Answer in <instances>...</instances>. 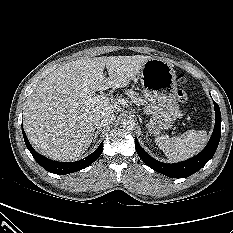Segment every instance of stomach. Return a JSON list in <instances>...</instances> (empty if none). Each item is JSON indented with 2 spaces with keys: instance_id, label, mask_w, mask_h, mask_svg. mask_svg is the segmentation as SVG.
Here are the masks:
<instances>
[{
  "instance_id": "stomach-1",
  "label": "stomach",
  "mask_w": 233,
  "mask_h": 233,
  "mask_svg": "<svg viewBox=\"0 0 233 233\" xmlns=\"http://www.w3.org/2000/svg\"><path fill=\"white\" fill-rule=\"evenodd\" d=\"M144 93L150 101V133L166 130L181 116L177 102V80L173 65L161 58H151L140 71Z\"/></svg>"
}]
</instances>
